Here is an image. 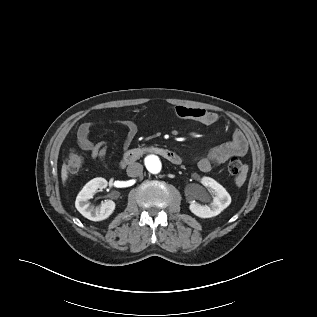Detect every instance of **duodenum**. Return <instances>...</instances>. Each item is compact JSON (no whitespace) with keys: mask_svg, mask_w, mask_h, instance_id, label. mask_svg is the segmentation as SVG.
I'll return each instance as SVG.
<instances>
[{"mask_svg":"<svg viewBox=\"0 0 317 317\" xmlns=\"http://www.w3.org/2000/svg\"><path fill=\"white\" fill-rule=\"evenodd\" d=\"M147 153H153L163 157L168 162L178 165L181 163V157L172 150L163 149L159 147H141L130 149L125 152L123 159L121 161V166H126L128 164L138 161Z\"/></svg>","mask_w":317,"mask_h":317,"instance_id":"duodenum-1","label":"duodenum"}]
</instances>
